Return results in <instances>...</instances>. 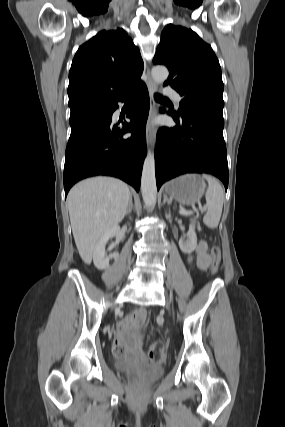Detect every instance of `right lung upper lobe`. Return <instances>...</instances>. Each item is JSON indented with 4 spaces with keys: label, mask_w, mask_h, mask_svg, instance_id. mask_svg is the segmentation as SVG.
Masks as SVG:
<instances>
[{
    "label": "right lung upper lobe",
    "mask_w": 285,
    "mask_h": 427,
    "mask_svg": "<svg viewBox=\"0 0 285 427\" xmlns=\"http://www.w3.org/2000/svg\"><path fill=\"white\" fill-rule=\"evenodd\" d=\"M139 49L123 29L103 30L83 44L69 72L71 113L95 105H110L142 81Z\"/></svg>",
    "instance_id": "cb5924a9"
}]
</instances>
